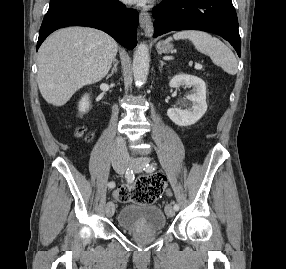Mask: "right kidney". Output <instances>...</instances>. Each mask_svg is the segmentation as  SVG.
<instances>
[{
	"label": "right kidney",
	"mask_w": 286,
	"mask_h": 269,
	"mask_svg": "<svg viewBox=\"0 0 286 269\" xmlns=\"http://www.w3.org/2000/svg\"><path fill=\"white\" fill-rule=\"evenodd\" d=\"M89 95H84L81 101L79 102V112L85 113L89 109Z\"/></svg>",
	"instance_id": "right-kidney-1"
}]
</instances>
